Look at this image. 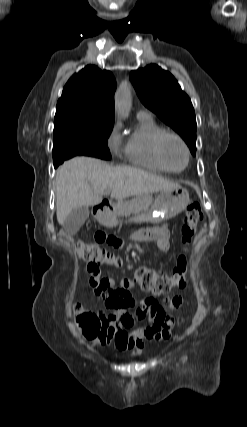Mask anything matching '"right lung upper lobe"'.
<instances>
[{"instance_id":"right-lung-upper-lobe-1","label":"right lung upper lobe","mask_w":247,"mask_h":427,"mask_svg":"<svg viewBox=\"0 0 247 427\" xmlns=\"http://www.w3.org/2000/svg\"><path fill=\"white\" fill-rule=\"evenodd\" d=\"M116 81L110 71L88 65L66 83L56 114L76 113L94 121L114 122Z\"/></svg>"}]
</instances>
